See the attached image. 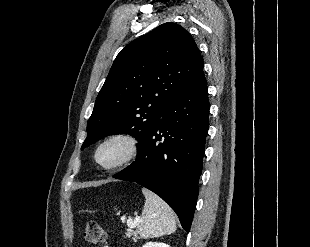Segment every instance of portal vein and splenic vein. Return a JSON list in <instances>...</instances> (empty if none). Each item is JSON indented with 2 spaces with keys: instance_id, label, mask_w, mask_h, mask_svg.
Listing matches in <instances>:
<instances>
[{
  "instance_id": "18ae733b",
  "label": "portal vein and splenic vein",
  "mask_w": 310,
  "mask_h": 247,
  "mask_svg": "<svg viewBox=\"0 0 310 247\" xmlns=\"http://www.w3.org/2000/svg\"><path fill=\"white\" fill-rule=\"evenodd\" d=\"M141 221L140 217L136 218L134 221L131 219L127 220V226L129 228H134L136 225H138V223Z\"/></svg>"
}]
</instances>
